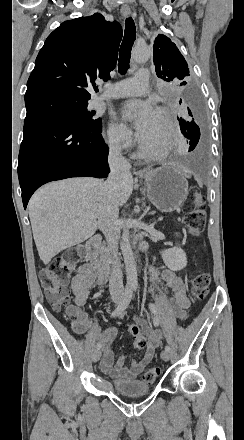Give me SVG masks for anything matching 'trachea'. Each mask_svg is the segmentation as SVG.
I'll list each match as a JSON object with an SVG mask.
<instances>
[{"instance_id": "3493384b", "label": "trachea", "mask_w": 244, "mask_h": 440, "mask_svg": "<svg viewBox=\"0 0 244 440\" xmlns=\"http://www.w3.org/2000/svg\"><path fill=\"white\" fill-rule=\"evenodd\" d=\"M136 37V28L133 19L127 18L125 21V33L120 47L118 69L119 73L124 74L129 68L131 49Z\"/></svg>"}]
</instances>
